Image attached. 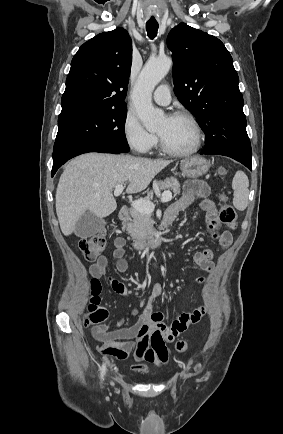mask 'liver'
Returning <instances> with one entry per match:
<instances>
[{
	"instance_id": "1",
	"label": "liver",
	"mask_w": 283,
	"mask_h": 434,
	"mask_svg": "<svg viewBox=\"0 0 283 434\" xmlns=\"http://www.w3.org/2000/svg\"><path fill=\"white\" fill-rule=\"evenodd\" d=\"M171 162L103 153H86L72 159L56 190V213L62 233L71 235L86 212L99 218L110 215L117 208L112 194L115 186L129 182L128 194L141 192Z\"/></svg>"
}]
</instances>
